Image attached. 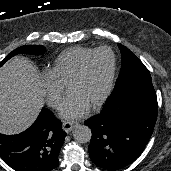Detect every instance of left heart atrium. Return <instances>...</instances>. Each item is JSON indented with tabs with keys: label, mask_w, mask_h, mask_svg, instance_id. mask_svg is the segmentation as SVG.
<instances>
[{
	"label": "left heart atrium",
	"mask_w": 171,
	"mask_h": 171,
	"mask_svg": "<svg viewBox=\"0 0 171 171\" xmlns=\"http://www.w3.org/2000/svg\"><path fill=\"white\" fill-rule=\"evenodd\" d=\"M89 105L78 94L71 93L63 101L60 107V116L65 119H77L89 111Z\"/></svg>",
	"instance_id": "left-heart-atrium-1"
}]
</instances>
